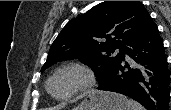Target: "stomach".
Masks as SVG:
<instances>
[{
	"mask_svg": "<svg viewBox=\"0 0 171 110\" xmlns=\"http://www.w3.org/2000/svg\"><path fill=\"white\" fill-rule=\"evenodd\" d=\"M124 96L93 91L87 99L73 110H126Z\"/></svg>",
	"mask_w": 171,
	"mask_h": 110,
	"instance_id": "1",
	"label": "stomach"
}]
</instances>
